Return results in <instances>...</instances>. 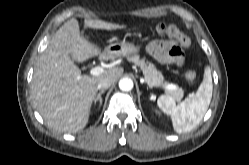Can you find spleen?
<instances>
[{
	"mask_svg": "<svg viewBox=\"0 0 249 165\" xmlns=\"http://www.w3.org/2000/svg\"><path fill=\"white\" fill-rule=\"evenodd\" d=\"M212 90L211 69L206 66L204 79L194 96L176 105L172 96L161 95L157 100V105L171 116L174 130L177 133L188 132L201 122L211 102Z\"/></svg>",
	"mask_w": 249,
	"mask_h": 165,
	"instance_id": "obj_1",
	"label": "spleen"
}]
</instances>
